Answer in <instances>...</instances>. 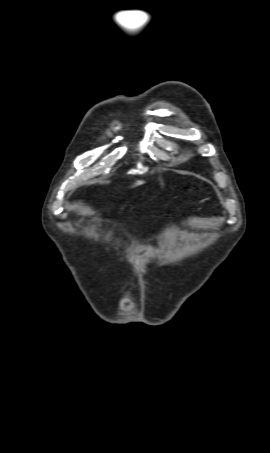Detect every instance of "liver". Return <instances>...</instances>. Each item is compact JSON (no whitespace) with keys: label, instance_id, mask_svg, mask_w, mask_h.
<instances>
[{"label":"liver","instance_id":"obj_1","mask_svg":"<svg viewBox=\"0 0 270 453\" xmlns=\"http://www.w3.org/2000/svg\"><path fill=\"white\" fill-rule=\"evenodd\" d=\"M142 184H144V181L139 180V181H136V182H135V184L133 185V187L140 186V185H142Z\"/></svg>","mask_w":270,"mask_h":453}]
</instances>
